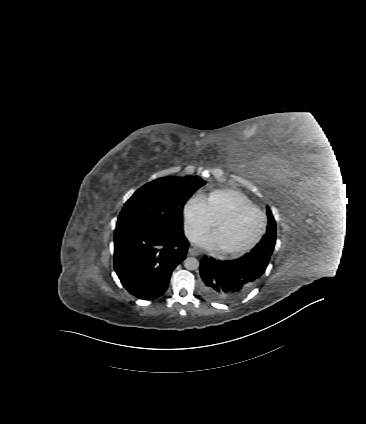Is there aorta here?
<instances>
[{"label":"aorta","mask_w":366,"mask_h":424,"mask_svg":"<svg viewBox=\"0 0 366 424\" xmlns=\"http://www.w3.org/2000/svg\"><path fill=\"white\" fill-rule=\"evenodd\" d=\"M184 267L187 270H196L199 267V261L194 257H187L184 261Z\"/></svg>","instance_id":"1"}]
</instances>
